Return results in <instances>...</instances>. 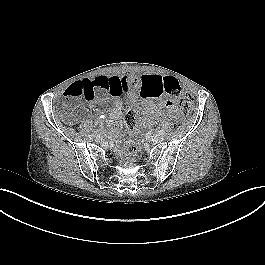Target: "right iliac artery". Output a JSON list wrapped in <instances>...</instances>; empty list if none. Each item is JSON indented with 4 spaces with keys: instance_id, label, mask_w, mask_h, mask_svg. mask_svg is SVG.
Listing matches in <instances>:
<instances>
[{
    "instance_id": "1",
    "label": "right iliac artery",
    "mask_w": 265,
    "mask_h": 265,
    "mask_svg": "<svg viewBox=\"0 0 265 265\" xmlns=\"http://www.w3.org/2000/svg\"><path fill=\"white\" fill-rule=\"evenodd\" d=\"M88 137H89V139L92 140V139H94L95 136H94L93 134H91V135H89Z\"/></svg>"
}]
</instances>
